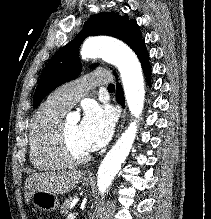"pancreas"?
I'll list each match as a JSON object with an SVG mask.
<instances>
[{
	"mask_svg": "<svg viewBox=\"0 0 211 219\" xmlns=\"http://www.w3.org/2000/svg\"><path fill=\"white\" fill-rule=\"evenodd\" d=\"M73 199H74L73 197H70L69 199L65 200V202L61 206V210H60L61 214L67 215L69 213V207H70Z\"/></svg>",
	"mask_w": 211,
	"mask_h": 219,
	"instance_id": "cf45deb5",
	"label": "pancreas"
}]
</instances>
